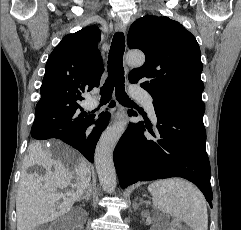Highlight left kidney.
I'll list each match as a JSON object with an SVG mask.
<instances>
[{
    "instance_id": "obj_1",
    "label": "left kidney",
    "mask_w": 241,
    "mask_h": 230,
    "mask_svg": "<svg viewBox=\"0 0 241 230\" xmlns=\"http://www.w3.org/2000/svg\"><path fill=\"white\" fill-rule=\"evenodd\" d=\"M150 230H177L176 227H171V229H169L167 226H161V227H153L152 229Z\"/></svg>"
}]
</instances>
